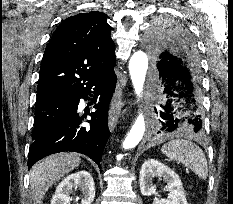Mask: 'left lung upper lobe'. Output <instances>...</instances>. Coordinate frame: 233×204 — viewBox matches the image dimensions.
Returning a JSON list of instances; mask_svg holds the SVG:
<instances>
[{"label":"left lung upper lobe","instance_id":"obj_1","mask_svg":"<svg viewBox=\"0 0 233 204\" xmlns=\"http://www.w3.org/2000/svg\"><path fill=\"white\" fill-rule=\"evenodd\" d=\"M147 45L155 65L164 58L163 53L167 49H176L193 59L200 74L195 44L184 29L168 24L156 26L147 38Z\"/></svg>","mask_w":233,"mask_h":204}]
</instances>
